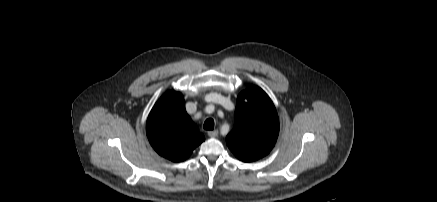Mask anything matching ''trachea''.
<instances>
[{
  "label": "trachea",
  "instance_id": "trachea-1",
  "mask_svg": "<svg viewBox=\"0 0 437 202\" xmlns=\"http://www.w3.org/2000/svg\"><path fill=\"white\" fill-rule=\"evenodd\" d=\"M203 128L205 130H213L214 129V120L212 118H208L206 119V121L204 122Z\"/></svg>",
  "mask_w": 437,
  "mask_h": 202
}]
</instances>
